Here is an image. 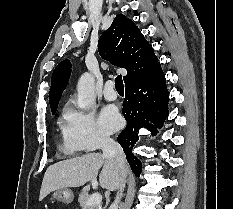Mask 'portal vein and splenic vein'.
<instances>
[{"instance_id":"18ae733b","label":"portal vein and splenic vein","mask_w":233,"mask_h":209,"mask_svg":"<svg viewBox=\"0 0 233 209\" xmlns=\"http://www.w3.org/2000/svg\"><path fill=\"white\" fill-rule=\"evenodd\" d=\"M101 202H102V195L100 193H94L90 196L86 205L91 206L95 204H101Z\"/></svg>"}]
</instances>
